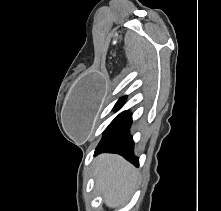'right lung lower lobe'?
<instances>
[{
  "mask_svg": "<svg viewBox=\"0 0 221 211\" xmlns=\"http://www.w3.org/2000/svg\"><path fill=\"white\" fill-rule=\"evenodd\" d=\"M132 123L131 115L124 111L117 120L104 132L95 150V155L109 152L122 155L134 165H139V159L133 154L134 142L129 134Z\"/></svg>",
  "mask_w": 221,
  "mask_h": 211,
  "instance_id": "obj_1",
  "label": "right lung lower lobe"
}]
</instances>
